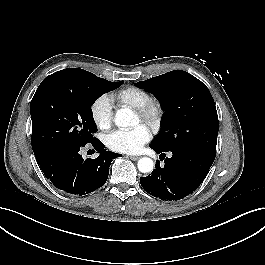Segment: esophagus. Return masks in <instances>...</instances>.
Segmentation results:
<instances>
[{"label":"esophagus","mask_w":265,"mask_h":265,"mask_svg":"<svg viewBox=\"0 0 265 265\" xmlns=\"http://www.w3.org/2000/svg\"><path fill=\"white\" fill-rule=\"evenodd\" d=\"M127 158H129L133 161H137L140 158V156H127Z\"/></svg>","instance_id":"1"}]
</instances>
